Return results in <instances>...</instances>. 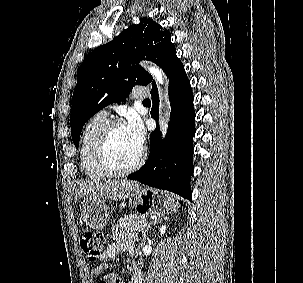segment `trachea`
<instances>
[{"label": "trachea", "mask_w": 303, "mask_h": 283, "mask_svg": "<svg viewBox=\"0 0 303 283\" xmlns=\"http://www.w3.org/2000/svg\"><path fill=\"white\" fill-rule=\"evenodd\" d=\"M147 102H150V100L149 99L143 100V103H147Z\"/></svg>", "instance_id": "1"}]
</instances>
